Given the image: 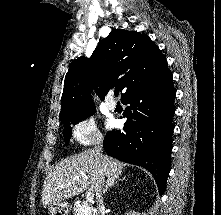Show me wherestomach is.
Here are the masks:
<instances>
[{"mask_svg":"<svg viewBox=\"0 0 221 215\" xmlns=\"http://www.w3.org/2000/svg\"><path fill=\"white\" fill-rule=\"evenodd\" d=\"M50 215H69V205L65 201H60L48 205Z\"/></svg>","mask_w":221,"mask_h":215,"instance_id":"stomach-1","label":"stomach"}]
</instances>
